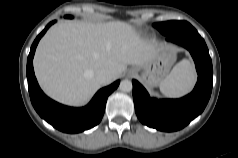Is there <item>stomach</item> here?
Instances as JSON below:
<instances>
[{
    "label": "stomach",
    "mask_w": 238,
    "mask_h": 158,
    "mask_svg": "<svg viewBox=\"0 0 238 158\" xmlns=\"http://www.w3.org/2000/svg\"><path fill=\"white\" fill-rule=\"evenodd\" d=\"M177 50L170 45L159 47L149 61L141 66H136V71H142L141 81L147 87H155L168 75L175 61Z\"/></svg>",
    "instance_id": "stomach-1"
}]
</instances>
